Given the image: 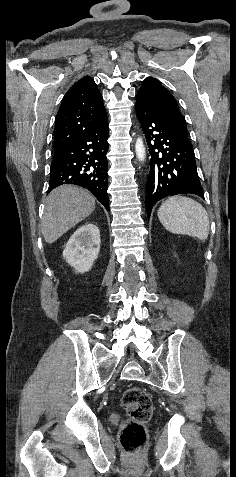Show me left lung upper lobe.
Segmentation results:
<instances>
[{"label": "left lung upper lobe", "mask_w": 236, "mask_h": 477, "mask_svg": "<svg viewBox=\"0 0 236 477\" xmlns=\"http://www.w3.org/2000/svg\"><path fill=\"white\" fill-rule=\"evenodd\" d=\"M137 97L142 98L172 128L188 139L186 121L179 111L175 98L157 79L147 77Z\"/></svg>", "instance_id": "5c2ea615"}]
</instances>
